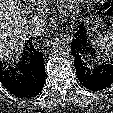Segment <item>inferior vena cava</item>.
Returning a JSON list of instances; mask_svg holds the SVG:
<instances>
[{"label": "inferior vena cava", "mask_w": 113, "mask_h": 113, "mask_svg": "<svg viewBox=\"0 0 113 113\" xmlns=\"http://www.w3.org/2000/svg\"><path fill=\"white\" fill-rule=\"evenodd\" d=\"M45 29V21L38 17H33L29 20V25L27 26V32L31 36H39Z\"/></svg>", "instance_id": "inferior-vena-cava-1"}]
</instances>
